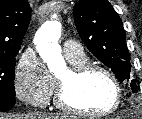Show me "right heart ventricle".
Returning a JSON list of instances; mask_svg holds the SVG:
<instances>
[{"instance_id": "obj_1", "label": "right heart ventricle", "mask_w": 142, "mask_h": 119, "mask_svg": "<svg viewBox=\"0 0 142 119\" xmlns=\"http://www.w3.org/2000/svg\"><path fill=\"white\" fill-rule=\"evenodd\" d=\"M67 59L71 65H79L87 62L84 54L77 57H67Z\"/></svg>"}]
</instances>
